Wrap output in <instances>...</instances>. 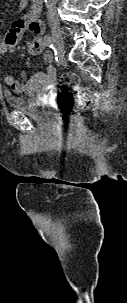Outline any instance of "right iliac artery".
<instances>
[{
	"label": "right iliac artery",
	"instance_id": "obj_1",
	"mask_svg": "<svg viewBox=\"0 0 127 303\" xmlns=\"http://www.w3.org/2000/svg\"><path fill=\"white\" fill-rule=\"evenodd\" d=\"M44 39H45L46 45L50 48H53V45H54L53 37L51 35L47 34V35H45Z\"/></svg>",
	"mask_w": 127,
	"mask_h": 303
}]
</instances>
